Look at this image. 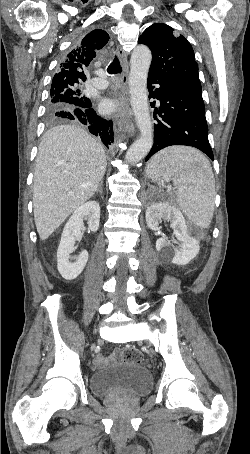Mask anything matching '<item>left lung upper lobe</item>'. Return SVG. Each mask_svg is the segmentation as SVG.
Returning <instances> with one entry per match:
<instances>
[{"label":"left lung upper lobe","instance_id":"5c2ea615","mask_svg":"<svg viewBox=\"0 0 250 454\" xmlns=\"http://www.w3.org/2000/svg\"><path fill=\"white\" fill-rule=\"evenodd\" d=\"M166 24L149 26L139 38L152 51L149 75L164 81L200 86L198 65L190 43Z\"/></svg>","mask_w":250,"mask_h":454}]
</instances>
